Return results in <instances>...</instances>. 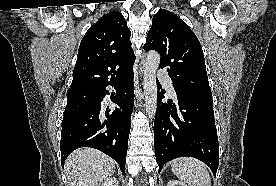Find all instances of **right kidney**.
<instances>
[{
	"instance_id": "obj_1",
	"label": "right kidney",
	"mask_w": 276,
	"mask_h": 186,
	"mask_svg": "<svg viewBox=\"0 0 276 186\" xmlns=\"http://www.w3.org/2000/svg\"><path fill=\"white\" fill-rule=\"evenodd\" d=\"M102 186H119L118 180L115 177H113V178L109 179L108 181H106Z\"/></svg>"
}]
</instances>
